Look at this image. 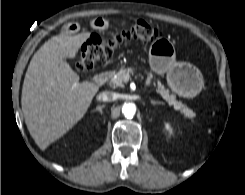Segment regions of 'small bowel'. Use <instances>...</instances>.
I'll return each instance as SVG.
<instances>
[{
  "label": "small bowel",
  "mask_w": 245,
  "mask_h": 195,
  "mask_svg": "<svg viewBox=\"0 0 245 195\" xmlns=\"http://www.w3.org/2000/svg\"><path fill=\"white\" fill-rule=\"evenodd\" d=\"M91 27L95 30H107L109 23L102 18H96L91 21ZM79 30V25L76 22H68L64 25L63 31L65 34H74Z\"/></svg>",
  "instance_id": "c3829d8e"
}]
</instances>
